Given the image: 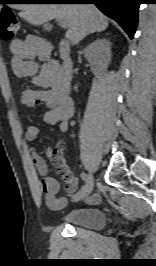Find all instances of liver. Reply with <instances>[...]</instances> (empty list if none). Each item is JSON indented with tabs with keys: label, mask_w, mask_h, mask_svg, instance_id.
Returning a JSON list of instances; mask_svg holds the SVG:
<instances>
[{
	"label": "liver",
	"mask_w": 156,
	"mask_h": 266,
	"mask_svg": "<svg viewBox=\"0 0 156 266\" xmlns=\"http://www.w3.org/2000/svg\"><path fill=\"white\" fill-rule=\"evenodd\" d=\"M13 7L19 9V16L32 25L55 18L64 20L68 28L65 37L72 44L108 27L107 17L90 4H16Z\"/></svg>",
	"instance_id": "6515ba94"
}]
</instances>
